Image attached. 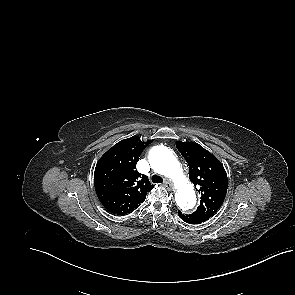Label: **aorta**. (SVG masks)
<instances>
[{
    "mask_svg": "<svg viewBox=\"0 0 295 295\" xmlns=\"http://www.w3.org/2000/svg\"><path fill=\"white\" fill-rule=\"evenodd\" d=\"M149 162L156 172L170 178L175 184L177 206L184 212L191 211L196 205V194L171 150L162 145L154 146L149 152Z\"/></svg>",
    "mask_w": 295,
    "mask_h": 295,
    "instance_id": "1",
    "label": "aorta"
}]
</instances>
